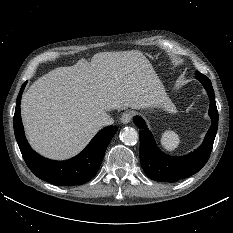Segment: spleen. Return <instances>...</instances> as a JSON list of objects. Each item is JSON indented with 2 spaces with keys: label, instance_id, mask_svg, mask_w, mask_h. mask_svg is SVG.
I'll return each mask as SVG.
<instances>
[{
  "label": "spleen",
  "instance_id": "obj_1",
  "mask_svg": "<svg viewBox=\"0 0 233 233\" xmlns=\"http://www.w3.org/2000/svg\"><path fill=\"white\" fill-rule=\"evenodd\" d=\"M161 146L168 152L176 150L180 143L178 134L171 130H166L162 133L160 139Z\"/></svg>",
  "mask_w": 233,
  "mask_h": 233
}]
</instances>
